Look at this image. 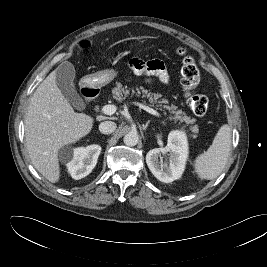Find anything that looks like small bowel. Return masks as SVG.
<instances>
[{
	"instance_id": "c3829d8e",
	"label": "small bowel",
	"mask_w": 267,
	"mask_h": 267,
	"mask_svg": "<svg viewBox=\"0 0 267 267\" xmlns=\"http://www.w3.org/2000/svg\"><path fill=\"white\" fill-rule=\"evenodd\" d=\"M130 68L137 75L147 74L158 77L161 83L169 82V74L164 63L160 60L154 59L150 61H143L138 58H132L129 61ZM150 82V79L147 80Z\"/></svg>"
}]
</instances>
